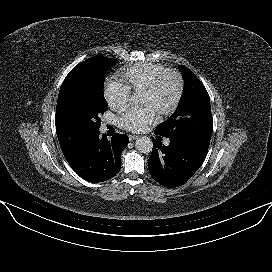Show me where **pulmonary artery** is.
Returning a JSON list of instances; mask_svg holds the SVG:
<instances>
[{
	"mask_svg": "<svg viewBox=\"0 0 272 272\" xmlns=\"http://www.w3.org/2000/svg\"><path fill=\"white\" fill-rule=\"evenodd\" d=\"M166 145H168L169 143H170V141L167 139V140H165V142H164Z\"/></svg>",
	"mask_w": 272,
	"mask_h": 272,
	"instance_id": "pulmonary-artery-1",
	"label": "pulmonary artery"
}]
</instances>
